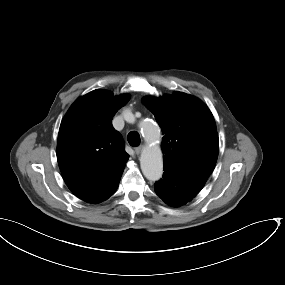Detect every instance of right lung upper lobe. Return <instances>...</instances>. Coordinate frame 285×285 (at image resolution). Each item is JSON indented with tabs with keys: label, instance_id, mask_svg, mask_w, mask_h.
Here are the masks:
<instances>
[{
	"label": "right lung upper lobe",
	"instance_id": "1",
	"mask_svg": "<svg viewBox=\"0 0 285 285\" xmlns=\"http://www.w3.org/2000/svg\"><path fill=\"white\" fill-rule=\"evenodd\" d=\"M129 99L128 94L114 97L94 90L78 98L61 122L57 160L62 177L72 193L88 203L108 199L119 185L129 155L111 123Z\"/></svg>",
	"mask_w": 285,
	"mask_h": 285
}]
</instances>
